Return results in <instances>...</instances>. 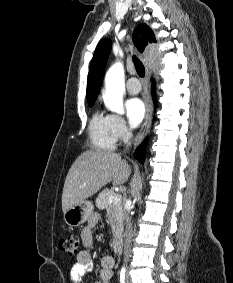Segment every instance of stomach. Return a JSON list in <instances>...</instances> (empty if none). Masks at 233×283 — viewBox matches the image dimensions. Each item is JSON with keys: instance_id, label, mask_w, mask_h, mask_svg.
Instances as JSON below:
<instances>
[{"instance_id": "obj_1", "label": "stomach", "mask_w": 233, "mask_h": 283, "mask_svg": "<svg viewBox=\"0 0 233 283\" xmlns=\"http://www.w3.org/2000/svg\"><path fill=\"white\" fill-rule=\"evenodd\" d=\"M94 206L90 201H83L71 207L64 213V221L67 225L77 227L86 222L93 213Z\"/></svg>"}]
</instances>
